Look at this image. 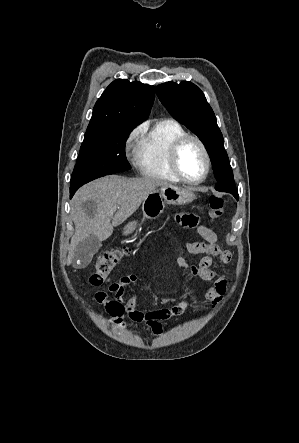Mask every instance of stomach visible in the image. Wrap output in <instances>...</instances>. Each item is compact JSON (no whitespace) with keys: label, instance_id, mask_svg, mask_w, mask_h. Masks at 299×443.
Segmentation results:
<instances>
[{"label":"stomach","instance_id":"stomach-1","mask_svg":"<svg viewBox=\"0 0 299 443\" xmlns=\"http://www.w3.org/2000/svg\"><path fill=\"white\" fill-rule=\"evenodd\" d=\"M195 195L188 189L179 188L172 184L161 186L160 190L150 193L142 202L143 220L156 219L164 211L165 204L185 205L192 202ZM137 227V221L128 223L124 228V235L131 234Z\"/></svg>","mask_w":299,"mask_h":443}]
</instances>
